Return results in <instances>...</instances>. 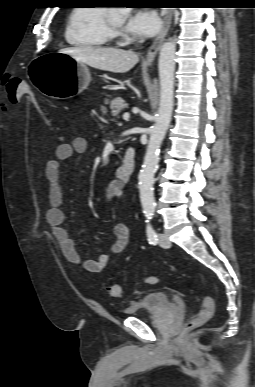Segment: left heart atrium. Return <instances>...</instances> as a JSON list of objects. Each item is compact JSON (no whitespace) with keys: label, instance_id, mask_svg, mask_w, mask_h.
<instances>
[{"label":"left heart atrium","instance_id":"obj_1","mask_svg":"<svg viewBox=\"0 0 255 387\" xmlns=\"http://www.w3.org/2000/svg\"><path fill=\"white\" fill-rule=\"evenodd\" d=\"M162 26L161 19L152 10H138L128 20L125 28L139 37H153Z\"/></svg>","mask_w":255,"mask_h":387}]
</instances>
